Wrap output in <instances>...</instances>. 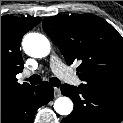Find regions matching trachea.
Masks as SVG:
<instances>
[{
  "label": "trachea",
  "mask_w": 123,
  "mask_h": 123,
  "mask_svg": "<svg viewBox=\"0 0 123 123\" xmlns=\"http://www.w3.org/2000/svg\"><path fill=\"white\" fill-rule=\"evenodd\" d=\"M26 80L29 81L31 84L36 85V84H39L41 82V77L39 75L35 74ZM49 81L55 87H59L61 85L60 80L56 77L50 78Z\"/></svg>",
  "instance_id": "1"
}]
</instances>
